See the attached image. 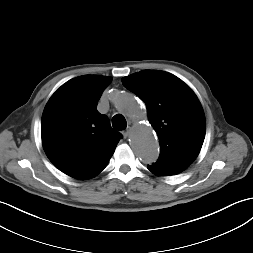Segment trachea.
<instances>
[{
    "label": "trachea",
    "instance_id": "trachea-1",
    "mask_svg": "<svg viewBox=\"0 0 253 253\" xmlns=\"http://www.w3.org/2000/svg\"><path fill=\"white\" fill-rule=\"evenodd\" d=\"M112 126L116 130H124L127 127V122L123 115L117 114L112 118Z\"/></svg>",
    "mask_w": 253,
    "mask_h": 253
}]
</instances>
